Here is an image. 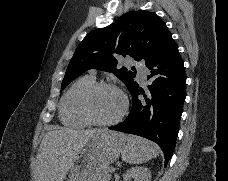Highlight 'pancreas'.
<instances>
[{
  "instance_id": "obj_1",
  "label": "pancreas",
  "mask_w": 228,
  "mask_h": 181,
  "mask_svg": "<svg viewBox=\"0 0 228 181\" xmlns=\"http://www.w3.org/2000/svg\"><path fill=\"white\" fill-rule=\"evenodd\" d=\"M110 169L111 167H108V169H103V171H101L102 175H106V177H104L105 181H110V177H111V175H109V173H111Z\"/></svg>"
}]
</instances>
